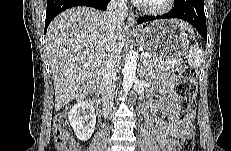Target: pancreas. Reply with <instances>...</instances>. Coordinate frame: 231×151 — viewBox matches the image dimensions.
Masks as SVG:
<instances>
[{"instance_id": "pancreas-1", "label": "pancreas", "mask_w": 231, "mask_h": 151, "mask_svg": "<svg viewBox=\"0 0 231 151\" xmlns=\"http://www.w3.org/2000/svg\"><path fill=\"white\" fill-rule=\"evenodd\" d=\"M180 63L164 61L163 59L148 54V57L143 58V69L144 71L154 72V71H174L179 70Z\"/></svg>"}]
</instances>
